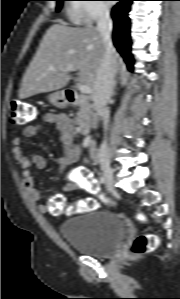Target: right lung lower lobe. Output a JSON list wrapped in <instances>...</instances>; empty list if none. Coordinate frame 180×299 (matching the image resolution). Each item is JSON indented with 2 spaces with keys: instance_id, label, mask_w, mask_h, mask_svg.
<instances>
[{
  "instance_id": "98d812e1",
  "label": "right lung lower lobe",
  "mask_w": 180,
  "mask_h": 299,
  "mask_svg": "<svg viewBox=\"0 0 180 299\" xmlns=\"http://www.w3.org/2000/svg\"><path fill=\"white\" fill-rule=\"evenodd\" d=\"M120 2L112 10L114 22L113 43L122 55L129 70H133V58L131 54V39L129 34L130 23L128 12L133 0H119Z\"/></svg>"
}]
</instances>
